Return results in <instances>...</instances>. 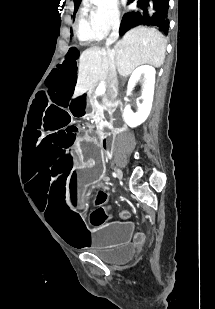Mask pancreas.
Instances as JSON below:
<instances>
[{"instance_id":"obj_1","label":"pancreas","mask_w":215,"mask_h":309,"mask_svg":"<svg viewBox=\"0 0 215 309\" xmlns=\"http://www.w3.org/2000/svg\"><path fill=\"white\" fill-rule=\"evenodd\" d=\"M88 96L91 100L92 106H95V104H94V96H95L94 92H88ZM93 110H94V114L96 116L95 124H96V126H100V124H102V120H100V122H99V118H103V110H100V108H93Z\"/></svg>"}]
</instances>
